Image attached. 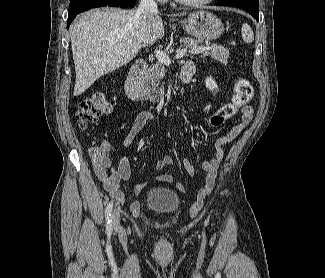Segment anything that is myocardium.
<instances>
[{
  "label": "myocardium",
  "mask_w": 325,
  "mask_h": 278,
  "mask_svg": "<svg viewBox=\"0 0 325 278\" xmlns=\"http://www.w3.org/2000/svg\"><path fill=\"white\" fill-rule=\"evenodd\" d=\"M181 5L189 7H203L211 3L213 0H175Z\"/></svg>",
  "instance_id": "myocardium-1"
}]
</instances>
